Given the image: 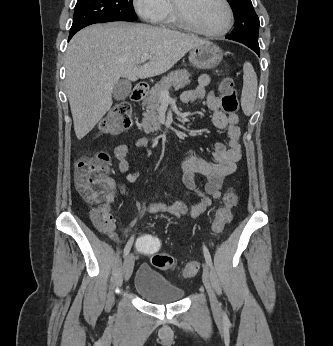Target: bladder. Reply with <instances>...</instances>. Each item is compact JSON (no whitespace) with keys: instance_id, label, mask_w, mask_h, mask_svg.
<instances>
[{"instance_id":"31cf9c89","label":"bladder","mask_w":333,"mask_h":346,"mask_svg":"<svg viewBox=\"0 0 333 346\" xmlns=\"http://www.w3.org/2000/svg\"><path fill=\"white\" fill-rule=\"evenodd\" d=\"M134 289L150 303L157 305L176 303L185 293L183 288L169 281L148 264H142L138 268Z\"/></svg>"}]
</instances>
